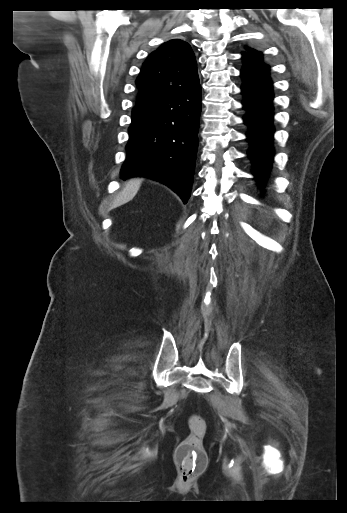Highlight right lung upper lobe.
Masks as SVG:
<instances>
[{
  "label": "right lung upper lobe",
  "mask_w": 347,
  "mask_h": 513,
  "mask_svg": "<svg viewBox=\"0 0 347 513\" xmlns=\"http://www.w3.org/2000/svg\"><path fill=\"white\" fill-rule=\"evenodd\" d=\"M137 103L166 98L199 87L195 56L190 45L170 40L154 51L143 64L136 81Z\"/></svg>",
  "instance_id": "cb5924a9"
}]
</instances>
